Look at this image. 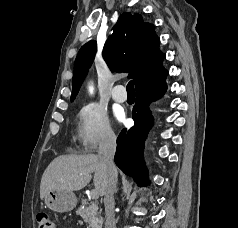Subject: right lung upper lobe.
Here are the masks:
<instances>
[{
	"label": "right lung upper lobe",
	"mask_w": 238,
	"mask_h": 228,
	"mask_svg": "<svg viewBox=\"0 0 238 228\" xmlns=\"http://www.w3.org/2000/svg\"><path fill=\"white\" fill-rule=\"evenodd\" d=\"M113 31L103 49V57L112 70L129 72L128 77L134 80L136 87L158 74L166 55L159 50L160 39L152 24L144 22L140 14L125 12L119 17ZM96 48V42L90 41L78 52L71 100L77 95L94 60Z\"/></svg>",
	"instance_id": "obj_1"
}]
</instances>
